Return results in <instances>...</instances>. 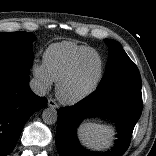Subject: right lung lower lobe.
Segmentation results:
<instances>
[{
  "label": "right lung lower lobe",
  "instance_id": "right-lung-lower-lobe-1",
  "mask_svg": "<svg viewBox=\"0 0 156 156\" xmlns=\"http://www.w3.org/2000/svg\"><path fill=\"white\" fill-rule=\"evenodd\" d=\"M46 104L29 87V69L0 63V156L10 153L26 121Z\"/></svg>",
  "mask_w": 156,
  "mask_h": 156
}]
</instances>
